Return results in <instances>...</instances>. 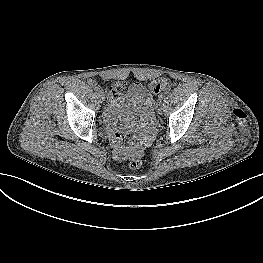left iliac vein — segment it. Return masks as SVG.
I'll return each mask as SVG.
<instances>
[{
  "instance_id": "obj_1",
  "label": "left iliac vein",
  "mask_w": 263,
  "mask_h": 263,
  "mask_svg": "<svg viewBox=\"0 0 263 263\" xmlns=\"http://www.w3.org/2000/svg\"><path fill=\"white\" fill-rule=\"evenodd\" d=\"M153 100H154L155 102H157V103H160V102H162V97H160V96H158V95H155V96L153 97Z\"/></svg>"
}]
</instances>
